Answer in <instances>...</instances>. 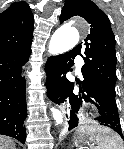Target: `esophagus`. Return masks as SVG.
<instances>
[{
    "label": "esophagus",
    "mask_w": 124,
    "mask_h": 149,
    "mask_svg": "<svg viewBox=\"0 0 124 149\" xmlns=\"http://www.w3.org/2000/svg\"><path fill=\"white\" fill-rule=\"evenodd\" d=\"M69 114H70V111H67V115H68V117H69Z\"/></svg>",
    "instance_id": "1"
}]
</instances>
